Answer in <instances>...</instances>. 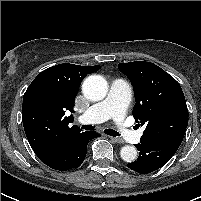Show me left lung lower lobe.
<instances>
[{
	"label": "left lung lower lobe",
	"mask_w": 201,
	"mask_h": 201,
	"mask_svg": "<svg viewBox=\"0 0 201 201\" xmlns=\"http://www.w3.org/2000/svg\"><path fill=\"white\" fill-rule=\"evenodd\" d=\"M182 141L164 139L136 144L139 157L127 167L140 174H148L165 165L175 154Z\"/></svg>",
	"instance_id": "1"
}]
</instances>
